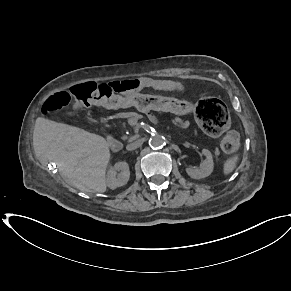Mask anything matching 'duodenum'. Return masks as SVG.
Returning <instances> with one entry per match:
<instances>
[{
  "label": "duodenum",
  "instance_id": "410a0bca",
  "mask_svg": "<svg viewBox=\"0 0 291 291\" xmlns=\"http://www.w3.org/2000/svg\"><path fill=\"white\" fill-rule=\"evenodd\" d=\"M108 137V141L110 142L111 150L114 153H117L122 148V142L117 140V136L115 134H111L110 132L106 133Z\"/></svg>",
  "mask_w": 291,
  "mask_h": 291
}]
</instances>
